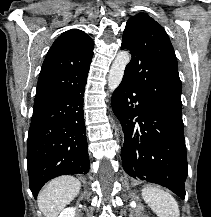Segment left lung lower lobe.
I'll return each instance as SVG.
<instances>
[{
  "label": "left lung lower lobe",
  "mask_w": 211,
  "mask_h": 217,
  "mask_svg": "<svg viewBox=\"0 0 211 217\" xmlns=\"http://www.w3.org/2000/svg\"><path fill=\"white\" fill-rule=\"evenodd\" d=\"M111 103L124 132L121 158L125 172L184 199L188 166L182 119L159 109L124 78Z\"/></svg>",
  "instance_id": "left-lung-lower-lobe-1"
}]
</instances>
